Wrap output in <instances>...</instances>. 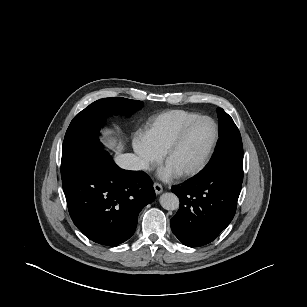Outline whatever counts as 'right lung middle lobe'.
Listing matches in <instances>:
<instances>
[{
    "label": "right lung middle lobe",
    "mask_w": 307,
    "mask_h": 307,
    "mask_svg": "<svg viewBox=\"0 0 307 307\" xmlns=\"http://www.w3.org/2000/svg\"><path fill=\"white\" fill-rule=\"evenodd\" d=\"M137 100L113 97L99 99L78 113L70 123L62 146V180L73 175L89 157L103 149L98 135L112 114L130 115L142 107Z\"/></svg>",
    "instance_id": "obj_1"
}]
</instances>
